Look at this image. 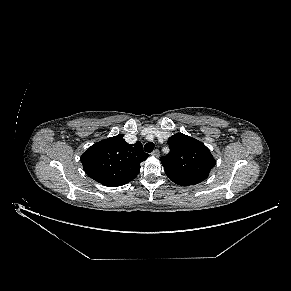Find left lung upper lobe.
I'll return each instance as SVG.
<instances>
[{
	"mask_svg": "<svg viewBox=\"0 0 291 291\" xmlns=\"http://www.w3.org/2000/svg\"><path fill=\"white\" fill-rule=\"evenodd\" d=\"M170 152L160 161L168 178L181 186L196 185L208 178L216 161L200 141L182 133L168 139Z\"/></svg>",
	"mask_w": 291,
	"mask_h": 291,
	"instance_id": "left-lung-upper-lobe-1",
	"label": "left lung upper lobe"
}]
</instances>
